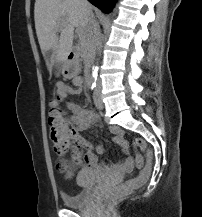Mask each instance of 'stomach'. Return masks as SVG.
Segmentation results:
<instances>
[{
  "mask_svg": "<svg viewBox=\"0 0 202 217\" xmlns=\"http://www.w3.org/2000/svg\"><path fill=\"white\" fill-rule=\"evenodd\" d=\"M64 77L72 78L78 74V66L75 62H66L62 71Z\"/></svg>",
  "mask_w": 202,
  "mask_h": 217,
  "instance_id": "1",
  "label": "stomach"
}]
</instances>
